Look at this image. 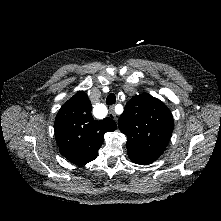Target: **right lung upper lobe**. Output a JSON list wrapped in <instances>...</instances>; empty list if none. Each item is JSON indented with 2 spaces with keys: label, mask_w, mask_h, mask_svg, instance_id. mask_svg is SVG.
I'll use <instances>...</instances> for the list:
<instances>
[{
  "label": "right lung upper lobe",
  "mask_w": 221,
  "mask_h": 221,
  "mask_svg": "<svg viewBox=\"0 0 221 221\" xmlns=\"http://www.w3.org/2000/svg\"><path fill=\"white\" fill-rule=\"evenodd\" d=\"M117 125L111 118L95 120L85 92H78L59 110L55 118V138L60 153L74 164H85L97 157L104 134Z\"/></svg>",
  "instance_id": "obj_1"
}]
</instances>
